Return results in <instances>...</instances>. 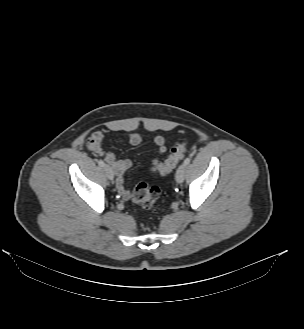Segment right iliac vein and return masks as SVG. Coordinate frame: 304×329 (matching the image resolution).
<instances>
[{"label":"right iliac vein","mask_w":304,"mask_h":329,"mask_svg":"<svg viewBox=\"0 0 304 329\" xmlns=\"http://www.w3.org/2000/svg\"><path fill=\"white\" fill-rule=\"evenodd\" d=\"M104 170H105V173H106L108 179L113 180L114 179V172H113L112 168L108 165H105Z\"/></svg>","instance_id":"right-iliac-vein-1"}]
</instances>
